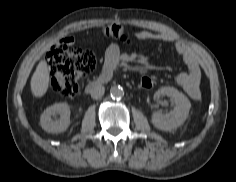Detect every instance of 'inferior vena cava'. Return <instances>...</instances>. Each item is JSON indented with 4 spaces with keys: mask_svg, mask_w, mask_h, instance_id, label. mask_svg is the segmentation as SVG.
Segmentation results:
<instances>
[{
    "mask_svg": "<svg viewBox=\"0 0 236 182\" xmlns=\"http://www.w3.org/2000/svg\"><path fill=\"white\" fill-rule=\"evenodd\" d=\"M105 88L102 85H95L91 90V97L93 99H99L103 96Z\"/></svg>",
    "mask_w": 236,
    "mask_h": 182,
    "instance_id": "1",
    "label": "inferior vena cava"
}]
</instances>
